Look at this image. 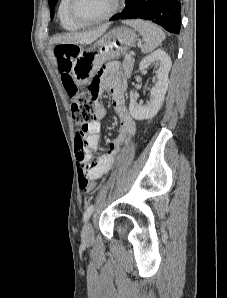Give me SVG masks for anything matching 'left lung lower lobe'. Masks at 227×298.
<instances>
[{
    "mask_svg": "<svg viewBox=\"0 0 227 298\" xmlns=\"http://www.w3.org/2000/svg\"><path fill=\"white\" fill-rule=\"evenodd\" d=\"M181 0H126L122 12L110 18L146 19L159 24L171 33L178 34L181 24Z\"/></svg>",
    "mask_w": 227,
    "mask_h": 298,
    "instance_id": "0a47b994",
    "label": "left lung lower lobe"
}]
</instances>
